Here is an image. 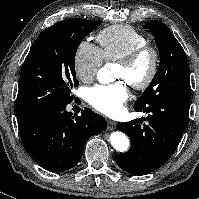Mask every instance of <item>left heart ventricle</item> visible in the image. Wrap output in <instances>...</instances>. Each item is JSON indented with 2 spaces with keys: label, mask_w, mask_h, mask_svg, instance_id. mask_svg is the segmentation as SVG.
<instances>
[{
  "label": "left heart ventricle",
  "mask_w": 199,
  "mask_h": 199,
  "mask_svg": "<svg viewBox=\"0 0 199 199\" xmlns=\"http://www.w3.org/2000/svg\"><path fill=\"white\" fill-rule=\"evenodd\" d=\"M150 67L149 58H141L133 67L124 68L116 65L114 69V78L124 80L125 82H138L141 81L148 73Z\"/></svg>",
  "instance_id": "1"
}]
</instances>
